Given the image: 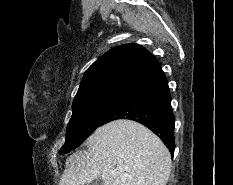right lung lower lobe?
Returning <instances> with one entry per match:
<instances>
[{"mask_svg": "<svg viewBox=\"0 0 233 185\" xmlns=\"http://www.w3.org/2000/svg\"><path fill=\"white\" fill-rule=\"evenodd\" d=\"M116 119H130L144 124L163 141L173 156L175 117L163 72L130 90L101 121L100 126Z\"/></svg>", "mask_w": 233, "mask_h": 185, "instance_id": "obj_1", "label": "right lung lower lobe"}]
</instances>
